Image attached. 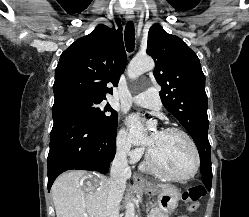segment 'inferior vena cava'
Returning a JSON list of instances; mask_svg holds the SVG:
<instances>
[{"label":"inferior vena cava","mask_w":249,"mask_h":217,"mask_svg":"<svg viewBox=\"0 0 249 217\" xmlns=\"http://www.w3.org/2000/svg\"><path fill=\"white\" fill-rule=\"evenodd\" d=\"M128 146L119 144L112 163L107 199V217H118L126 180L131 177L127 161Z\"/></svg>","instance_id":"obj_1"}]
</instances>
